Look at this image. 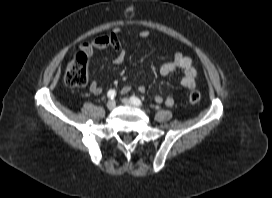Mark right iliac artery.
I'll return each instance as SVG.
<instances>
[{
	"label": "right iliac artery",
	"mask_w": 272,
	"mask_h": 198,
	"mask_svg": "<svg viewBox=\"0 0 272 198\" xmlns=\"http://www.w3.org/2000/svg\"><path fill=\"white\" fill-rule=\"evenodd\" d=\"M107 96L111 99H113L116 96V91L115 90H109L107 93Z\"/></svg>",
	"instance_id": "right-iliac-artery-1"
}]
</instances>
